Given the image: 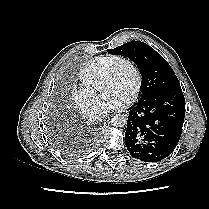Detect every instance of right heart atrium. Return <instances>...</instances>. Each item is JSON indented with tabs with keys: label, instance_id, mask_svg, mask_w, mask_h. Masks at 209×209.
I'll use <instances>...</instances> for the list:
<instances>
[{
	"label": "right heart atrium",
	"instance_id": "d8ad5b80",
	"mask_svg": "<svg viewBox=\"0 0 209 209\" xmlns=\"http://www.w3.org/2000/svg\"><path fill=\"white\" fill-rule=\"evenodd\" d=\"M72 102L77 110L85 117L97 120L103 115V101L92 90L79 87L73 90L71 95Z\"/></svg>",
	"mask_w": 209,
	"mask_h": 209
}]
</instances>
